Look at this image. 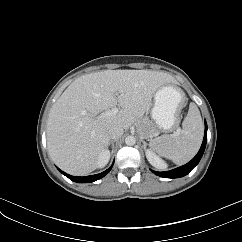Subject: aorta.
Instances as JSON below:
<instances>
[{
  "mask_svg": "<svg viewBox=\"0 0 242 242\" xmlns=\"http://www.w3.org/2000/svg\"><path fill=\"white\" fill-rule=\"evenodd\" d=\"M125 143H126L127 145H129V146H132V145H134V144L136 143V139H135L134 136H127V137L125 138Z\"/></svg>",
  "mask_w": 242,
  "mask_h": 242,
  "instance_id": "obj_1",
  "label": "aorta"
}]
</instances>
